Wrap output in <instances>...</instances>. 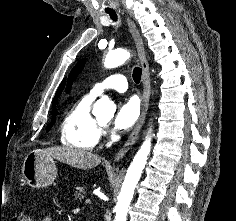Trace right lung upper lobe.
I'll use <instances>...</instances> for the list:
<instances>
[{"instance_id":"right-lung-upper-lobe-1","label":"right lung upper lobe","mask_w":236,"mask_h":221,"mask_svg":"<svg viewBox=\"0 0 236 221\" xmlns=\"http://www.w3.org/2000/svg\"><path fill=\"white\" fill-rule=\"evenodd\" d=\"M63 87H64V81L61 83L60 87L58 88V90L56 92V95L53 100V105H55L57 103V99H58L59 95L61 94Z\"/></svg>"}]
</instances>
